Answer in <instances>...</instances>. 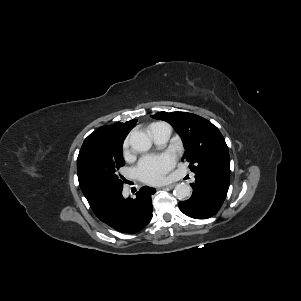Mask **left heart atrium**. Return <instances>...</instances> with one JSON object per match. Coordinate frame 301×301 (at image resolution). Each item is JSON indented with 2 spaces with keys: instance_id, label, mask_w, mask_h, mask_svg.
<instances>
[{
  "instance_id": "obj_1",
  "label": "left heart atrium",
  "mask_w": 301,
  "mask_h": 301,
  "mask_svg": "<svg viewBox=\"0 0 301 301\" xmlns=\"http://www.w3.org/2000/svg\"><path fill=\"white\" fill-rule=\"evenodd\" d=\"M175 158L170 153L147 155L140 159L135 168L137 177L148 184H160L174 168Z\"/></svg>"
}]
</instances>
